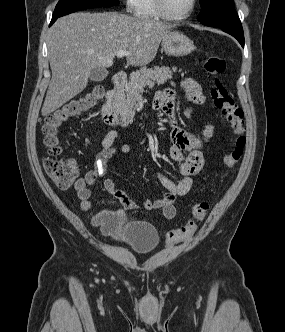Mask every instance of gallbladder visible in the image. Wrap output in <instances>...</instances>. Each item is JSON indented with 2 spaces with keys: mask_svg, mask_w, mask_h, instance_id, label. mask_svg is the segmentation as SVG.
Returning a JSON list of instances; mask_svg holds the SVG:
<instances>
[{
  "mask_svg": "<svg viewBox=\"0 0 285 332\" xmlns=\"http://www.w3.org/2000/svg\"><path fill=\"white\" fill-rule=\"evenodd\" d=\"M107 75L108 71L106 70V68L95 67L92 69L89 78L91 81L101 82L107 77Z\"/></svg>",
  "mask_w": 285,
  "mask_h": 332,
  "instance_id": "obj_1",
  "label": "gallbladder"
}]
</instances>
